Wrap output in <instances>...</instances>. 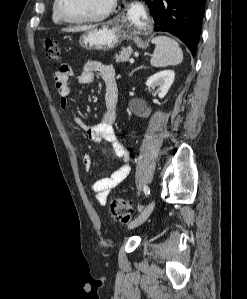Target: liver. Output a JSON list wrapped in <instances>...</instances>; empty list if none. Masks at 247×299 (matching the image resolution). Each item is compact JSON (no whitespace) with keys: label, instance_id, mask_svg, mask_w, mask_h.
Masks as SVG:
<instances>
[{"label":"liver","instance_id":"liver-1","mask_svg":"<svg viewBox=\"0 0 247 299\" xmlns=\"http://www.w3.org/2000/svg\"><path fill=\"white\" fill-rule=\"evenodd\" d=\"M94 25H84V26H78V27H71V28H65L62 29L64 32H81V31H88L92 29Z\"/></svg>","mask_w":247,"mask_h":299}]
</instances>
